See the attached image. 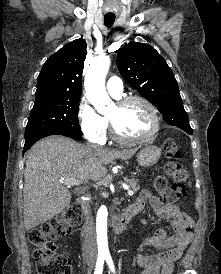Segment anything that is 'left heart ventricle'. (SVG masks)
Masks as SVG:
<instances>
[{
	"label": "left heart ventricle",
	"mask_w": 221,
	"mask_h": 274,
	"mask_svg": "<svg viewBox=\"0 0 221 274\" xmlns=\"http://www.w3.org/2000/svg\"><path fill=\"white\" fill-rule=\"evenodd\" d=\"M107 116L111 118L119 134L127 138L146 135L152 125L149 110L140 102H133L122 108L115 104Z\"/></svg>",
	"instance_id": "b2bd125f"
}]
</instances>
